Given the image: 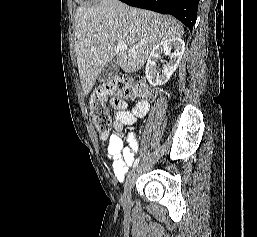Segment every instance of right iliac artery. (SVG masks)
I'll list each match as a JSON object with an SVG mask.
<instances>
[{
  "label": "right iliac artery",
  "instance_id": "1",
  "mask_svg": "<svg viewBox=\"0 0 257 237\" xmlns=\"http://www.w3.org/2000/svg\"><path fill=\"white\" fill-rule=\"evenodd\" d=\"M139 160H140V158H137V159L135 160V162H134V164H133V168H134V167H136V166L138 165Z\"/></svg>",
  "mask_w": 257,
  "mask_h": 237
}]
</instances>
